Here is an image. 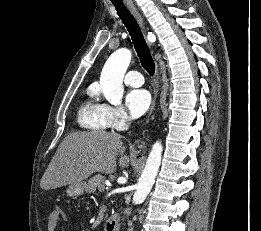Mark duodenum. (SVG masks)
Masks as SVG:
<instances>
[{
    "instance_id": "410a0bca",
    "label": "duodenum",
    "mask_w": 261,
    "mask_h": 231,
    "mask_svg": "<svg viewBox=\"0 0 261 231\" xmlns=\"http://www.w3.org/2000/svg\"><path fill=\"white\" fill-rule=\"evenodd\" d=\"M105 231H119L120 217L118 215L110 216L104 223Z\"/></svg>"
}]
</instances>
